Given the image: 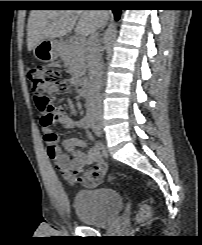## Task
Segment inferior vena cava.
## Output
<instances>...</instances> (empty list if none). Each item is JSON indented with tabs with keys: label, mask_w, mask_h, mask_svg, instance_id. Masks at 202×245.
Instances as JSON below:
<instances>
[{
	"label": "inferior vena cava",
	"mask_w": 202,
	"mask_h": 245,
	"mask_svg": "<svg viewBox=\"0 0 202 245\" xmlns=\"http://www.w3.org/2000/svg\"><path fill=\"white\" fill-rule=\"evenodd\" d=\"M87 64L90 80V90L87 98V110L90 114H98L102 111L100 88L102 85L103 72L97 31H94L89 38V44L87 48Z\"/></svg>",
	"instance_id": "obj_1"
}]
</instances>
